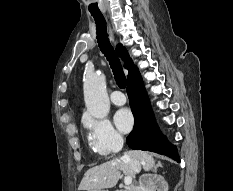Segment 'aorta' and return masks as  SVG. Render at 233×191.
I'll list each match as a JSON object with an SVG mask.
<instances>
[{
	"instance_id": "obj_1",
	"label": "aorta",
	"mask_w": 233,
	"mask_h": 191,
	"mask_svg": "<svg viewBox=\"0 0 233 191\" xmlns=\"http://www.w3.org/2000/svg\"><path fill=\"white\" fill-rule=\"evenodd\" d=\"M84 99L89 113L98 119L107 117L110 111L106 81L103 74H90L83 85Z\"/></svg>"
}]
</instances>
